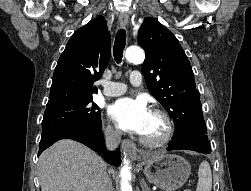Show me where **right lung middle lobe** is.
<instances>
[{"label": "right lung middle lobe", "mask_w": 251, "mask_h": 191, "mask_svg": "<svg viewBox=\"0 0 251 191\" xmlns=\"http://www.w3.org/2000/svg\"><path fill=\"white\" fill-rule=\"evenodd\" d=\"M71 123L93 127L101 125L99 107L92 102V99L66 102L46 107L42 121V133Z\"/></svg>", "instance_id": "obj_1"}]
</instances>
